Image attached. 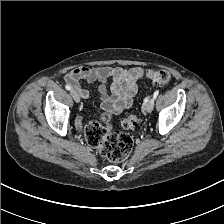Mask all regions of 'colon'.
<instances>
[{"instance_id":"5ec220e1","label":"colon","mask_w":224,"mask_h":224,"mask_svg":"<svg viewBox=\"0 0 224 224\" xmlns=\"http://www.w3.org/2000/svg\"><path fill=\"white\" fill-rule=\"evenodd\" d=\"M144 75L153 84L159 86L166 85L171 80L170 73L163 69H148ZM110 121V115L104 113L99 121L90 122L86 125L84 134L87 143L98 148L103 157L113 162H120L130 155L133 139L126 133L107 130L104 124H108ZM138 124L139 117L135 113L130 114L121 122L124 129H134Z\"/></svg>"}]
</instances>
